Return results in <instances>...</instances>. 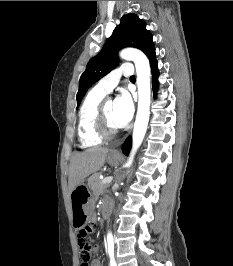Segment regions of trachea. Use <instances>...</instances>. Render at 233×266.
I'll return each instance as SVG.
<instances>
[{"mask_svg":"<svg viewBox=\"0 0 233 266\" xmlns=\"http://www.w3.org/2000/svg\"><path fill=\"white\" fill-rule=\"evenodd\" d=\"M130 79H131V80H135V76H132Z\"/></svg>","mask_w":233,"mask_h":266,"instance_id":"3493384b","label":"trachea"}]
</instances>
